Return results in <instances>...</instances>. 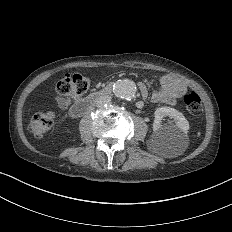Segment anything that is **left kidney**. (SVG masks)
Segmentation results:
<instances>
[{
    "instance_id": "1",
    "label": "left kidney",
    "mask_w": 232,
    "mask_h": 232,
    "mask_svg": "<svg viewBox=\"0 0 232 232\" xmlns=\"http://www.w3.org/2000/svg\"><path fill=\"white\" fill-rule=\"evenodd\" d=\"M154 116L150 146L168 149L181 148L188 144L189 122L181 112L171 107H160L156 109ZM166 116L173 118L175 124L162 125L161 121Z\"/></svg>"
}]
</instances>
